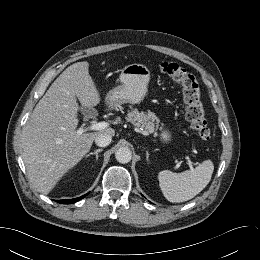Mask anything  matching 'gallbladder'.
Wrapping results in <instances>:
<instances>
[{
  "instance_id": "1",
  "label": "gallbladder",
  "mask_w": 260,
  "mask_h": 260,
  "mask_svg": "<svg viewBox=\"0 0 260 260\" xmlns=\"http://www.w3.org/2000/svg\"><path fill=\"white\" fill-rule=\"evenodd\" d=\"M81 111H82V113H83L85 116H89V115L96 116V115H97V112H96V110H94V109L82 108Z\"/></svg>"
}]
</instances>
